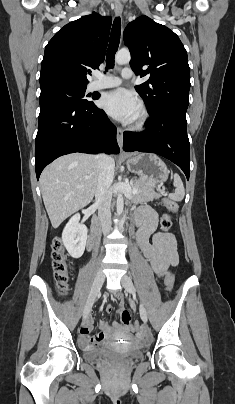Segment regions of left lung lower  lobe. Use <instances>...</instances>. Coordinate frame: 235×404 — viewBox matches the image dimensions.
I'll list each match as a JSON object with an SVG mask.
<instances>
[{"mask_svg":"<svg viewBox=\"0 0 235 404\" xmlns=\"http://www.w3.org/2000/svg\"><path fill=\"white\" fill-rule=\"evenodd\" d=\"M186 111L175 108L151 114L144 132H124L123 150L161 155L190 175V145L187 136Z\"/></svg>","mask_w":235,"mask_h":404,"instance_id":"obj_1","label":"left lung lower lobe"}]
</instances>
